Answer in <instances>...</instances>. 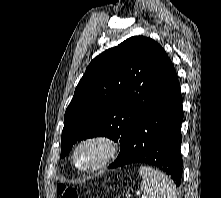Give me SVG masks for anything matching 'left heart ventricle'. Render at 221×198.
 <instances>
[{"label":"left heart ventricle","mask_w":221,"mask_h":198,"mask_svg":"<svg viewBox=\"0 0 221 198\" xmlns=\"http://www.w3.org/2000/svg\"><path fill=\"white\" fill-rule=\"evenodd\" d=\"M102 155V149L98 145H87L82 147L77 154L79 165L87 167L95 164Z\"/></svg>","instance_id":"b2bd125f"}]
</instances>
